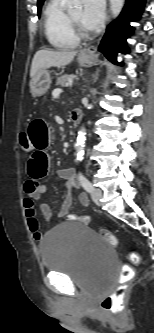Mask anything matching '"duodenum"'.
Instances as JSON below:
<instances>
[{"label":"duodenum","instance_id":"duodenum-1","mask_svg":"<svg viewBox=\"0 0 154 333\" xmlns=\"http://www.w3.org/2000/svg\"><path fill=\"white\" fill-rule=\"evenodd\" d=\"M82 116H83V111L81 109H73L70 114L71 122L74 125L79 124L82 119Z\"/></svg>","mask_w":154,"mask_h":333}]
</instances>
